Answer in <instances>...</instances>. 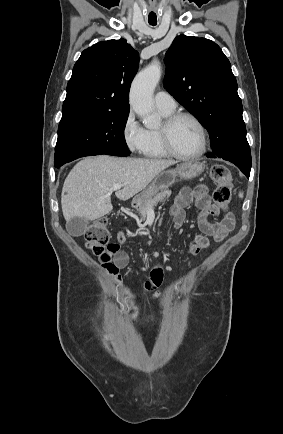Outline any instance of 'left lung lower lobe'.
Listing matches in <instances>:
<instances>
[{
	"mask_svg": "<svg viewBox=\"0 0 283 434\" xmlns=\"http://www.w3.org/2000/svg\"><path fill=\"white\" fill-rule=\"evenodd\" d=\"M236 166L246 175L247 178H249L250 170H251V162H249V163H237Z\"/></svg>",
	"mask_w": 283,
	"mask_h": 434,
	"instance_id": "0a47b994",
	"label": "left lung lower lobe"
}]
</instances>
